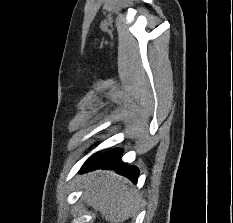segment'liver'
<instances>
[{"label": "liver", "instance_id": "6515ba94", "mask_svg": "<svg viewBox=\"0 0 233 223\" xmlns=\"http://www.w3.org/2000/svg\"><path fill=\"white\" fill-rule=\"evenodd\" d=\"M87 205L107 223H121L130 217L140 197L126 185L127 179L115 171H91L80 179Z\"/></svg>", "mask_w": 233, "mask_h": 223}]
</instances>
